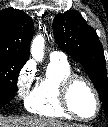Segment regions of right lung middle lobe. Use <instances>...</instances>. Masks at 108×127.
Wrapping results in <instances>:
<instances>
[{
    "label": "right lung middle lobe",
    "instance_id": "right-lung-middle-lobe-1",
    "mask_svg": "<svg viewBox=\"0 0 108 127\" xmlns=\"http://www.w3.org/2000/svg\"><path fill=\"white\" fill-rule=\"evenodd\" d=\"M26 61L0 54V98L12 99L17 90V78Z\"/></svg>",
    "mask_w": 108,
    "mask_h": 127
}]
</instances>
